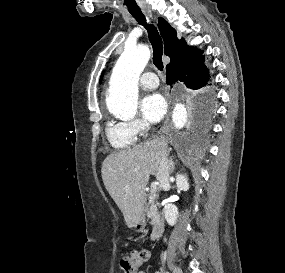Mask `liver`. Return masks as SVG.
Listing matches in <instances>:
<instances>
[{
  "label": "liver",
  "mask_w": 285,
  "mask_h": 273,
  "mask_svg": "<svg viewBox=\"0 0 285 273\" xmlns=\"http://www.w3.org/2000/svg\"><path fill=\"white\" fill-rule=\"evenodd\" d=\"M167 154V142L156 139L112 153L104 160L101 169L103 183L128 227L138 223L144 209L149 177H157L160 159Z\"/></svg>",
  "instance_id": "obj_1"
}]
</instances>
